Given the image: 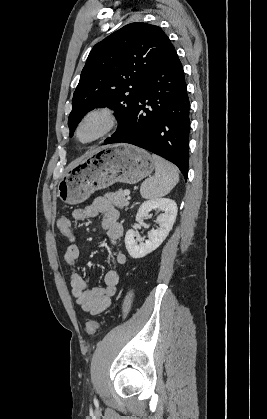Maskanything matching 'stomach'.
Returning <instances> with one entry per match:
<instances>
[{"instance_id": "0dacf381", "label": "stomach", "mask_w": 267, "mask_h": 419, "mask_svg": "<svg viewBox=\"0 0 267 419\" xmlns=\"http://www.w3.org/2000/svg\"><path fill=\"white\" fill-rule=\"evenodd\" d=\"M153 169L154 161L146 150L129 144L104 146L68 168L58 182V197L67 204H79L115 182L135 184Z\"/></svg>"}]
</instances>
